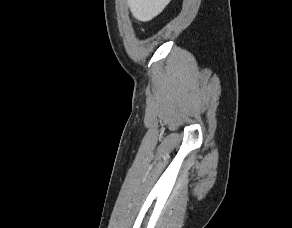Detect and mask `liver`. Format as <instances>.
Returning <instances> with one entry per match:
<instances>
[{
    "mask_svg": "<svg viewBox=\"0 0 292 228\" xmlns=\"http://www.w3.org/2000/svg\"><path fill=\"white\" fill-rule=\"evenodd\" d=\"M171 0H128L134 18L148 22L160 14Z\"/></svg>",
    "mask_w": 292,
    "mask_h": 228,
    "instance_id": "liver-1",
    "label": "liver"
}]
</instances>
